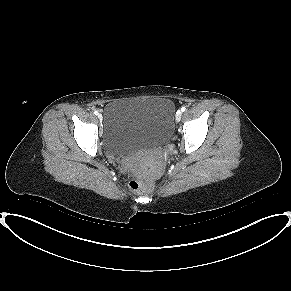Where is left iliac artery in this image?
<instances>
[{"instance_id":"44dca946","label":"left iliac artery","mask_w":291,"mask_h":291,"mask_svg":"<svg viewBox=\"0 0 291 291\" xmlns=\"http://www.w3.org/2000/svg\"><path fill=\"white\" fill-rule=\"evenodd\" d=\"M185 110H186V107L183 106V107L181 108V111L184 112Z\"/></svg>"}]
</instances>
